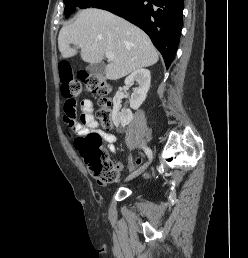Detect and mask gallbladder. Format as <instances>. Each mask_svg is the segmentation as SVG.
Masks as SVG:
<instances>
[{"label":"gallbladder","instance_id":"gallbladder-1","mask_svg":"<svg viewBox=\"0 0 248 258\" xmlns=\"http://www.w3.org/2000/svg\"><path fill=\"white\" fill-rule=\"evenodd\" d=\"M86 70L94 75L103 76L105 74V64L95 63L87 66Z\"/></svg>","mask_w":248,"mask_h":258}]
</instances>
